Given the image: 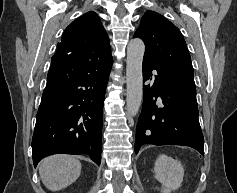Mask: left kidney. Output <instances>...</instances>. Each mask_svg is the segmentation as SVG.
Returning <instances> with one entry per match:
<instances>
[{
    "instance_id": "1",
    "label": "left kidney",
    "mask_w": 237,
    "mask_h": 193,
    "mask_svg": "<svg viewBox=\"0 0 237 193\" xmlns=\"http://www.w3.org/2000/svg\"><path fill=\"white\" fill-rule=\"evenodd\" d=\"M155 178L162 184L161 193H171L180 188L184 169L178 160L161 155L155 162Z\"/></svg>"
}]
</instances>
